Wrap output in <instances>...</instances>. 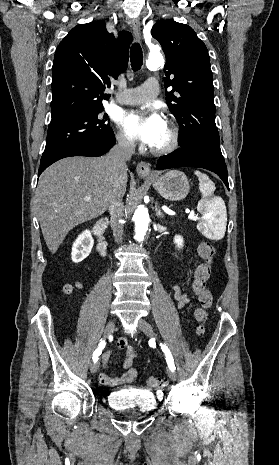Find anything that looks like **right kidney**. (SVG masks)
Wrapping results in <instances>:
<instances>
[{
    "mask_svg": "<svg viewBox=\"0 0 279 465\" xmlns=\"http://www.w3.org/2000/svg\"><path fill=\"white\" fill-rule=\"evenodd\" d=\"M94 245V240L90 230L82 232L72 246L71 258L74 263L83 261L89 256Z\"/></svg>",
    "mask_w": 279,
    "mask_h": 465,
    "instance_id": "right-kidney-1",
    "label": "right kidney"
}]
</instances>
